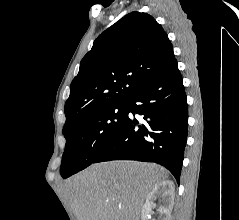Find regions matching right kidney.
Masks as SVG:
<instances>
[{"label": "right kidney", "instance_id": "1", "mask_svg": "<svg viewBox=\"0 0 239 220\" xmlns=\"http://www.w3.org/2000/svg\"><path fill=\"white\" fill-rule=\"evenodd\" d=\"M175 185L170 180H163L156 184L146 197V202L142 207L141 220H148L152 208L155 207L154 201L161 199L162 205L157 209V220H170L174 203Z\"/></svg>", "mask_w": 239, "mask_h": 220}]
</instances>
